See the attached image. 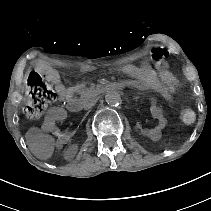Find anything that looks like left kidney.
<instances>
[{
	"label": "left kidney",
	"mask_w": 211,
	"mask_h": 211,
	"mask_svg": "<svg viewBox=\"0 0 211 211\" xmlns=\"http://www.w3.org/2000/svg\"><path fill=\"white\" fill-rule=\"evenodd\" d=\"M150 115L153 117L155 125L149 126L144 122H137L134 125L135 132L146 138H154L168 131L172 125V120L158 107L151 108Z\"/></svg>",
	"instance_id": "1"
}]
</instances>
